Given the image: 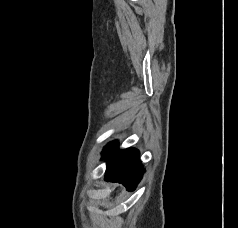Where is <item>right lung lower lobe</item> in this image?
<instances>
[{
    "mask_svg": "<svg viewBox=\"0 0 238 228\" xmlns=\"http://www.w3.org/2000/svg\"><path fill=\"white\" fill-rule=\"evenodd\" d=\"M102 155V159L107 158L105 179L122 183L129 191L134 190L145 172L139 151L134 148L118 150V142L114 141L104 148Z\"/></svg>",
    "mask_w": 238,
    "mask_h": 228,
    "instance_id": "1",
    "label": "right lung lower lobe"
}]
</instances>
